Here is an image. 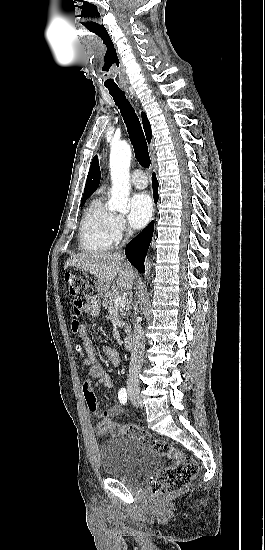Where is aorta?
<instances>
[{"instance_id": "1", "label": "aorta", "mask_w": 265, "mask_h": 550, "mask_svg": "<svg viewBox=\"0 0 265 550\" xmlns=\"http://www.w3.org/2000/svg\"><path fill=\"white\" fill-rule=\"evenodd\" d=\"M130 160L131 148L126 142L114 144L110 152V172L112 180L111 198L108 205L112 210L127 213L129 210L130 193ZM147 274L150 272V263L146 261Z\"/></svg>"}]
</instances>
